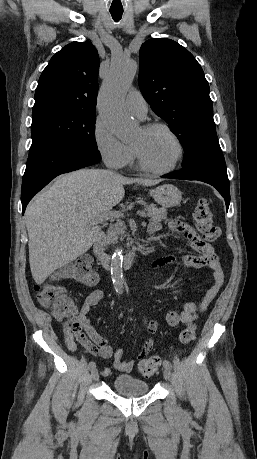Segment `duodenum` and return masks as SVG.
Instances as JSON below:
<instances>
[{
    "instance_id": "duodenum-1",
    "label": "duodenum",
    "mask_w": 257,
    "mask_h": 459,
    "mask_svg": "<svg viewBox=\"0 0 257 459\" xmlns=\"http://www.w3.org/2000/svg\"><path fill=\"white\" fill-rule=\"evenodd\" d=\"M93 251L99 263L103 267L107 268L111 262V258L104 251V233L103 232H100L96 235L93 241ZM137 258H138L137 251L131 250L127 252L124 257V267L125 268L132 267L133 264L136 262Z\"/></svg>"
}]
</instances>
